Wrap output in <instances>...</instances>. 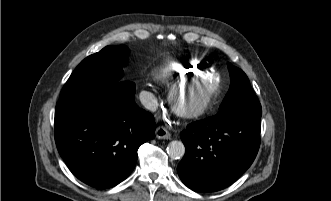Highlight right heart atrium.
<instances>
[{"label": "right heart atrium", "mask_w": 331, "mask_h": 201, "mask_svg": "<svg viewBox=\"0 0 331 201\" xmlns=\"http://www.w3.org/2000/svg\"><path fill=\"white\" fill-rule=\"evenodd\" d=\"M156 95H157V90L152 85L145 86L140 92V97L145 102L152 101L156 97Z\"/></svg>", "instance_id": "1"}]
</instances>
